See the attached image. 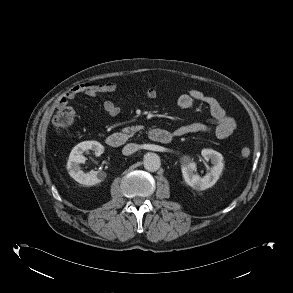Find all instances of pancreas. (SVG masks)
<instances>
[{
  "label": "pancreas",
  "mask_w": 293,
  "mask_h": 293,
  "mask_svg": "<svg viewBox=\"0 0 293 293\" xmlns=\"http://www.w3.org/2000/svg\"><path fill=\"white\" fill-rule=\"evenodd\" d=\"M143 129V126H131V127H126L124 129H122L123 133H126L128 135V137H131L134 135L135 132L139 131Z\"/></svg>",
  "instance_id": "cf45deb5"
}]
</instances>
